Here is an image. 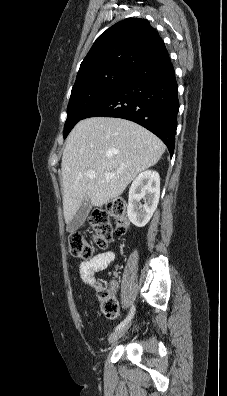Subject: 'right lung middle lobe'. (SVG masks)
Masks as SVG:
<instances>
[{
  "instance_id": "obj_1",
  "label": "right lung middle lobe",
  "mask_w": 227,
  "mask_h": 396,
  "mask_svg": "<svg viewBox=\"0 0 227 396\" xmlns=\"http://www.w3.org/2000/svg\"><path fill=\"white\" fill-rule=\"evenodd\" d=\"M132 70L111 68L89 75L74 84L67 107L64 138L84 115L108 96Z\"/></svg>"
}]
</instances>
